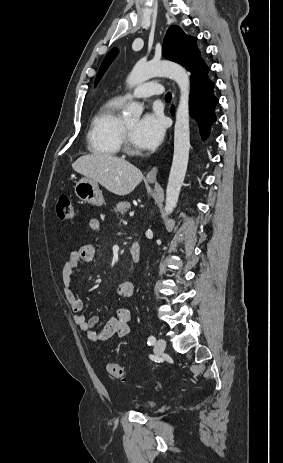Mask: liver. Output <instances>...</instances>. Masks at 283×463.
<instances>
[{"mask_svg":"<svg viewBox=\"0 0 283 463\" xmlns=\"http://www.w3.org/2000/svg\"><path fill=\"white\" fill-rule=\"evenodd\" d=\"M72 167L77 173L120 196L132 192L143 179L142 172L136 166L109 154L94 153L81 156Z\"/></svg>","mask_w":283,"mask_h":463,"instance_id":"1","label":"liver"}]
</instances>
